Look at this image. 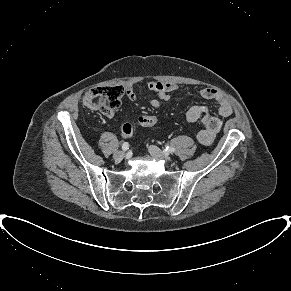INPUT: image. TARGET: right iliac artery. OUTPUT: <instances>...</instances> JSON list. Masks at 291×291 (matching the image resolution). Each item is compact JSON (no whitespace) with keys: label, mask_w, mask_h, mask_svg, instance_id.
Here are the masks:
<instances>
[{"label":"right iliac artery","mask_w":291,"mask_h":291,"mask_svg":"<svg viewBox=\"0 0 291 291\" xmlns=\"http://www.w3.org/2000/svg\"><path fill=\"white\" fill-rule=\"evenodd\" d=\"M129 149V143L128 142H124L123 144H122V150L123 151H127Z\"/></svg>","instance_id":"obj_1"}]
</instances>
